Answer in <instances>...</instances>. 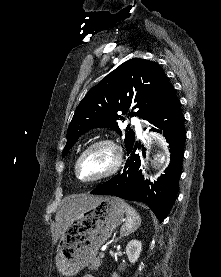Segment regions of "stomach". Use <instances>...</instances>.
<instances>
[{
	"label": "stomach",
	"mask_w": 221,
	"mask_h": 277,
	"mask_svg": "<svg viewBox=\"0 0 221 277\" xmlns=\"http://www.w3.org/2000/svg\"><path fill=\"white\" fill-rule=\"evenodd\" d=\"M123 203L113 197H100L83 208L61 235L56 250L59 273L70 277L92 263L100 246L124 218Z\"/></svg>",
	"instance_id": "0dacf381"
}]
</instances>
